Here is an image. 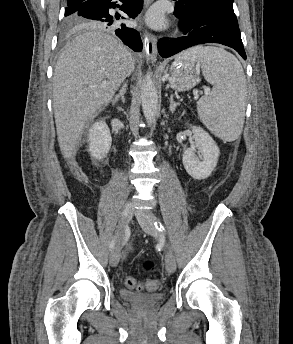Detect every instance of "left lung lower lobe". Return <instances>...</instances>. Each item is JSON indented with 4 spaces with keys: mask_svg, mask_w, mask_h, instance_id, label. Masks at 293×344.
<instances>
[{
    "mask_svg": "<svg viewBox=\"0 0 293 344\" xmlns=\"http://www.w3.org/2000/svg\"><path fill=\"white\" fill-rule=\"evenodd\" d=\"M174 14L180 18V27L186 36L160 39L158 50L163 58L194 45L219 43L235 49L243 59H246L240 33L211 17L201 16L194 9L181 7L178 1L175 3Z\"/></svg>",
    "mask_w": 293,
    "mask_h": 344,
    "instance_id": "obj_1",
    "label": "left lung lower lobe"
}]
</instances>
